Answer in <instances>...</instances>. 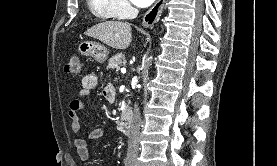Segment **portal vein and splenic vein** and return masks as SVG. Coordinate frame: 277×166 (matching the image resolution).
I'll return each instance as SVG.
<instances>
[{
    "instance_id": "1",
    "label": "portal vein and splenic vein",
    "mask_w": 277,
    "mask_h": 166,
    "mask_svg": "<svg viewBox=\"0 0 277 166\" xmlns=\"http://www.w3.org/2000/svg\"><path fill=\"white\" fill-rule=\"evenodd\" d=\"M121 72H122V73H125V72H126V69L122 68V69H121Z\"/></svg>"
}]
</instances>
